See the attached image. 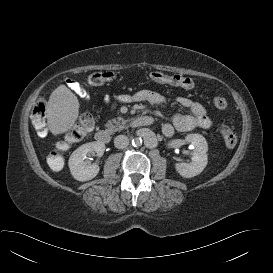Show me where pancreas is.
Segmentation results:
<instances>
[{
    "label": "pancreas",
    "mask_w": 273,
    "mask_h": 273,
    "mask_svg": "<svg viewBox=\"0 0 273 273\" xmlns=\"http://www.w3.org/2000/svg\"><path fill=\"white\" fill-rule=\"evenodd\" d=\"M128 121H129L128 119L126 120L123 117H117L108 120V122L105 124V127L109 132L113 133L118 131L119 129H122Z\"/></svg>",
    "instance_id": "pancreas-1"
}]
</instances>
